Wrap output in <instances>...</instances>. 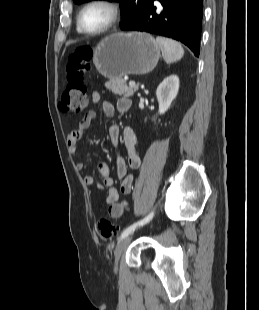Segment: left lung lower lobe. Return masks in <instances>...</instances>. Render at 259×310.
Here are the masks:
<instances>
[{
  "mask_svg": "<svg viewBox=\"0 0 259 310\" xmlns=\"http://www.w3.org/2000/svg\"><path fill=\"white\" fill-rule=\"evenodd\" d=\"M160 2L157 10L154 2ZM203 0H150L142 13L121 25L122 30H137L173 38L200 53Z\"/></svg>",
  "mask_w": 259,
  "mask_h": 310,
  "instance_id": "0a47b994",
  "label": "left lung lower lobe"
}]
</instances>
